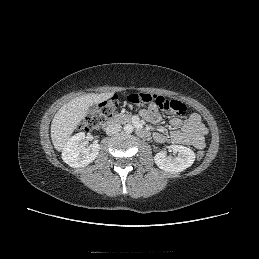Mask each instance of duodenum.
Returning <instances> with one entry per match:
<instances>
[{
	"instance_id": "1",
	"label": "duodenum",
	"mask_w": 259,
	"mask_h": 259,
	"mask_svg": "<svg viewBox=\"0 0 259 259\" xmlns=\"http://www.w3.org/2000/svg\"><path fill=\"white\" fill-rule=\"evenodd\" d=\"M119 119H123V120H127L128 118L125 117V116H122V117H114V118H111L109 120H107L103 127L104 128H109L111 127L112 125H114ZM132 122L135 124L136 128H137V133L139 136L141 137H146L148 136V131L142 127L137 120L133 119Z\"/></svg>"
}]
</instances>
